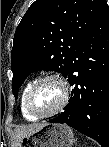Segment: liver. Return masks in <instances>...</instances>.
Masks as SVG:
<instances>
[{
  "label": "liver",
  "mask_w": 109,
  "mask_h": 147,
  "mask_svg": "<svg viewBox=\"0 0 109 147\" xmlns=\"http://www.w3.org/2000/svg\"><path fill=\"white\" fill-rule=\"evenodd\" d=\"M45 125H46L45 123L32 124V125L22 126L17 128L15 132L13 133V137H12L14 142L13 147H20V142L25 136L34 133L35 131L41 129Z\"/></svg>",
  "instance_id": "6515ba94"
}]
</instances>
